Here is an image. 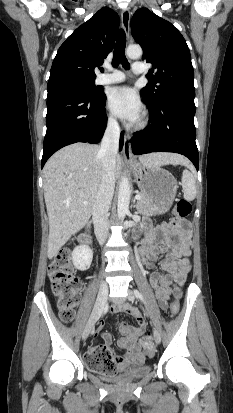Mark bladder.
Wrapping results in <instances>:
<instances>
[{"instance_id":"obj_1","label":"bladder","mask_w":233,"mask_h":413,"mask_svg":"<svg viewBox=\"0 0 233 413\" xmlns=\"http://www.w3.org/2000/svg\"><path fill=\"white\" fill-rule=\"evenodd\" d=\"M150 368L144 363H138L131 367L125 368L116 373L99 372L106 380L114 382H125L141 378L149 372Z\"/></svg>"}]
</instances>
